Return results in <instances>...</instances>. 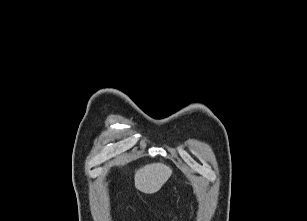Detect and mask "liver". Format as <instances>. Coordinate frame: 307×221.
Listing matches in <instances>:
<instances>
[{
    "instance_id": "1",
    "label": "liver",
    "mask_w": 307,
    "mask_h": 221,
    "mask_svg": "<svg viewBox=\"0 0 307 221\" xmlns=\"http://www.w3.org/2000/svg\"><path fill=\"white\" fill-rule=\"evenodd\" d=\"M172 169L162 163L143 166L135 172V187L143 193L153 194L167 182Z\"/></svg>"
}]
</instances>
